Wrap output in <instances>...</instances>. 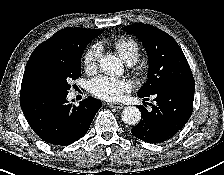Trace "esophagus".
<instances>
[{
	"label": "esophagus",
	"mask_w": 224,
	"mask_h": 175,
	"mask_svg": "<svg viewBox=\"0 0 224 175\" xmlns=\"http://www.w3.org/2000/svg\"><path fill=\"white\" fill-rule=\"evenodd\" d=\"M107 105L110 108H116V109H122L124 107L123 104H121V103H114V102H109Z\"/></svg>",
	"instance_id": "1"
}]
</instances>
